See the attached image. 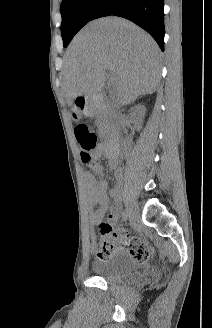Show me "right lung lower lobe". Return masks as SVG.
I'll return each instance as SVG.
<instances>
[{"label":"right lung lower lobe","instance_id":"1","mask_svg":"<svg viewBox=\"0 0 212 328\" xmlns=\"http://www.w3.org/2000/svg\"><path fill=\"white\" fill-rule=\"evenodd\" d=\"M129 19L149 32L164 51L163 0H102L92 15V20L104 16Z\"/></svg>","mask_w":212,"mask_h":328}]
</instances>
